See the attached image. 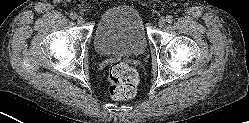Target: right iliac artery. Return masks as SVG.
<instances>
[{
	"instance_id": "1",
	"label": "right iliac artery",
	"mask_w": 249,
	"mask_h": 123,
	"mask_svg": "<svg viewBox=\"0 0 249 123\" xmlns=\"http://www.w3.org/2000/svg\"><path fill=\"white\" fill-rule=\"evenodd\" d=\"M70 18L75 20L77 18V14L76 13H71Z\"/></svg>"
}]
</instances>
